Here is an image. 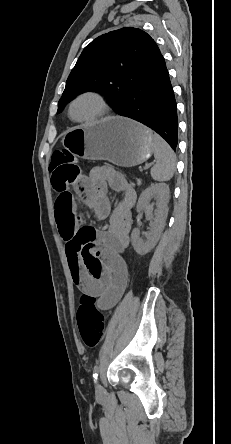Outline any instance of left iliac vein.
<instances>
[{"label":"left iliac vein","mask_w":231,"mask_h":444,"mask_svg":"<svg viewBox=\"0 0 231 444\" xmlns=\"http://www.w3.org/2000/svg\"><path fill=\"white\" fill-rule=\"evenodd\" d=\"M95 393L97 397H100L103 395V388L99 382L95 383Z\"/></svg>","instance_id":"4c4485c4"}]
</instances>
